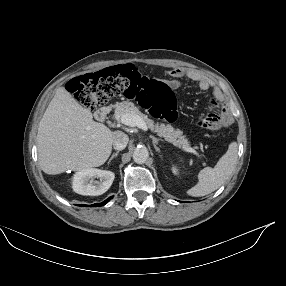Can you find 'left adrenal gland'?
<instances>
[{
  "mask_svg": "<svg viewBox=\"0 0 286 286\" xmlns=\"http://www.w3.org/2000/svg\"><path fill=\"white\" fill-rule=\"evenodd\" d=\"M150 138L152 139L153 141V145H154V148L157 152H160V149L159 147L157 146L158 142L159 141H162V139H158V138H155L154 136L150 135Z\"/></svg>",
  "mask_w": 286,
  "mask_h": 286,
  "instance_id": "a2214340",
  "label": "left adrenal gland"
}]
</instances>
